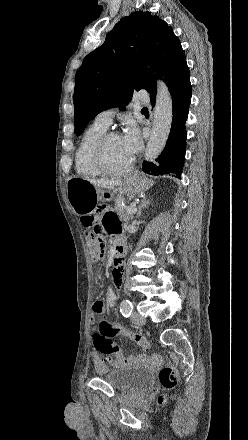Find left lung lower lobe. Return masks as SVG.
Listing matches in <instances>:
<instances>
[{"instance_id": "obj_1", "label": "left lung lower lobe", "mask_w": 248, "mask_h": 440, "mask_svg": "<svg viewBox=\"0 0 248 440\" xmlns=\"http://www.w3.org/2000/svg\"><path fill=\"white\" fill-rule=\"evenodd\" d=\"M169 91L173 100V119L166 146L156 159L159 164L144 161L142 170L155 176L173 173L179 177L185 158L187 136L185 122L192 94L190 78L176 83ZM151 103L152 106L155 105V98L151 99Z\"/></svg>"}]
</instances>
